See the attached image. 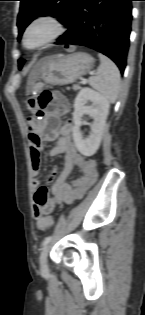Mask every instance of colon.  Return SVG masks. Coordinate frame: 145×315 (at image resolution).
Masks as SVG:
<instances>
[{
  "mask_svg": "<svg viewBox=\"0 0 145 315\" xmlns=\"http://www.w3.org/2000/svg\"><path fill=\"white\" fill-rule=\"evenodd\" d=\"M38 105L37 116L61 113L68 108L67 101L61 94L50 91H45L39 96ZM37 225L40 230H47L53 225V219L51 216H44L37 222Z\"/></svg>",
  "mask_w": 145,
  "mask_h": 315,
  "instance_id": "obj_1",
  "label": "colon"
}]
</instances>
